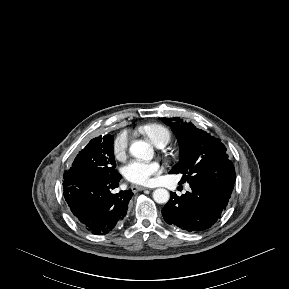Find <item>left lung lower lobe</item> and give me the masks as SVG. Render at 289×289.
I'll use <instances>...</instances> for the list:
<instances>
[{
    "mask_svg": "<svg viewBox=\"0 0 289 289\" xmlns=\"http://www.w3.org/2000/svg\"><path fill=\"white\" fill-rule=\"evenodd\" d=\"M192 191L181 197L176 193L162 209L165 221L175 227L192 231H203L210 228L221 217L231 195L218 190L190 185Z\"/></svg>",
    "mask_w": 289,
    "mask_h": 289,
    "instance_id": "1",
    "label": "left lung lower lobe"
}]
</instances>
